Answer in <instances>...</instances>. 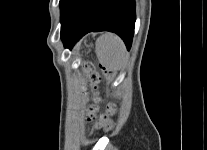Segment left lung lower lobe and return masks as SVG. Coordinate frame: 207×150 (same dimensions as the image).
Here are the masks:
<instances>
[{
	"mask_svg": "<svg viewBox=\"0 0 207 150\" xmlns=\"http://www.w3.org/2000/svg\"><path fill=\"white\" fill-rule=\"evenodd\" d=\"M61 39L66 48L91 31L119 35L128 50L135 25L134 0H66L61 7Z\"/></svg>",
	"mask_w": 207,
	"mask_h": 150,
	"instance_id": "left-lung-lower-lobe-1",
	"label": "left lung lower lobe"
}]
</instances>
